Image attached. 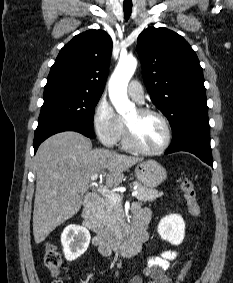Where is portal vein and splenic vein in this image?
Returning <instances> with one entry per match:
<instances>
[{"instance_id":"18ae733b","label":"portal vein and splenic vein","mask_w":233,"mask_h":283,"mask_svg":"<svg viewBox=\"0 0 233 283\" xmlns=\"http://www.w3.org/2000/svg\"><path fill=\"white\" fill-rule=\"evenodd\" d=\"M98 178V174H94L92 177H91V180L92 181H95L96 179ZM98 191L103 195L105 196L106 198L112 200V201H120L121 200V197L119 194L115 193V192H112V191H109L108 189L106 188H103V187H99L98 188ZM138 194V191L137 190H134L131 194L132 197H135L137 196Z\"/></svg>"}]
</instances>
